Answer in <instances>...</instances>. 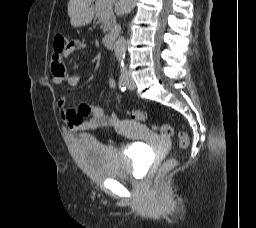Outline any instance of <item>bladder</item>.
I'll list each match as a JSON object with an SVG mask.
<instances>
[{
    "label": "bladder",
    "instance_id": "31cf9c89",
    "mask_svg": "<svg viewBox=\"0 0 256 228\" xmlns=\"http://www.w3.org/2000/svg\"><path fill=\"white\" fill-rule=\"evenodd\" d=\"M77 148L85 170L100 179H132L143 170L146 162L145 153L135 145L121 154L93 137L82 136Z\"/></svg>",
    "mask_w": 256,
    "mask_h": 228
}]
</instances>
